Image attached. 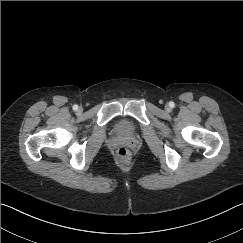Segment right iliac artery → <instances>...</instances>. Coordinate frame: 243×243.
Here are the masks:
<instances>
[{"mask_svg":"<svg viewBox=\"0 0 243 243\" xmlns=\"http://www.w3.org/2000/svg\"><path fill=\"white\" fill-rule=\"evenodd\" d=\"M77 109H78V105H74V106H73V110L76 111Z\"/></svg>","mask_w":243,"mask_h":243,"instance_id":"obj_1","label":"right iliac artery"}]
</instances>
